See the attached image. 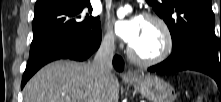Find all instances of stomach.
<instances>
[{
	"mask_svg": "<svg viewBox=\"0 0 221 102\" xmlns=\"http://www.w3.org/2000/svg\"><path fill=\"white\" fill-rule=\"evenodd\" d=\"M130 83L150 102H174L177 97L173 87L157 76L142 75Z\"/></svg>",
	"mask_w": 221,
	"mask_h": 102,
	"instance_id": "obj_1",
	"label": "stomach"
}]
</instances>
